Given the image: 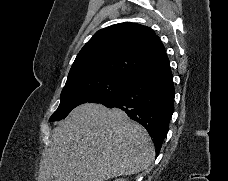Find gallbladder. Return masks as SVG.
<instances>
[{"instance_id":"bac80fb5","label":"gallbladder","mask_w":228,"mask_h":181,"mask_svg":"<svg viewBox=\"0 0 228 181\" xmlns=\"http://www.w3.org/2000/svg\"><path fill=\"white\" fill-rule=\"evenodd\" d=\"M47 181H54V177H49V179H47Z\"/></svg>"}]
</instances>
